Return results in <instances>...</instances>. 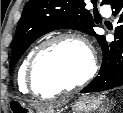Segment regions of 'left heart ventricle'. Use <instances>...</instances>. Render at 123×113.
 <instances>
[{
    "label": "left heart ventricle",
    "mask_w": 123,
    "mask_h": 113,
    "mask_svg": "<svg viewBox=\"0 0 123 113\" xmlns=\"http://www.w3.org/2000/svg\"><path fill=\"white\" fill-rule=\"evenodd\" d=\"M89 58L84 48L74 41H61L46 50L35 65L38 89L49 90L69 86L85 75Z\"/></svg>",
    "instance_id": "b2bd125f"
}]
</instances>
